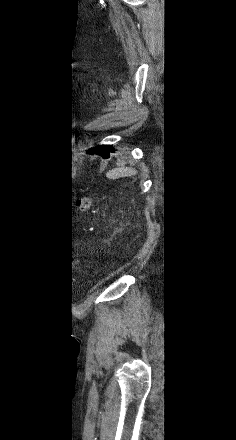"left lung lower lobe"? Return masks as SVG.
<instances>
[{
	"mask_svg": "<svg viewBox=\"0 0 236 440\" xmlns=\"http://www.w3.org/2000/svg\"><path fill=\"white\" fill-rule=\"evenodd\" d=\"M114 148L110 145H98L89 150L90 153H95L97 155L102 156L103 158H109V153L114 152Z\"/></svg>",
	"mask_w": 236,
	"mask_h": 440,
	"instance_id": "0a47b994",
	"label": "left lung lower lobe"
}]
</instances>
